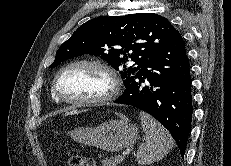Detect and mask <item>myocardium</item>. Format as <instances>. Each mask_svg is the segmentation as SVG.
Here are the masks:
<instances>
[{
	"label": "myocardium",
	"instance_id": "myocardium-1",
	"mask_svg": "<svg viewBox=\"0 0 231 166\" xmlns=\"http://www.w3.org/2000/svg\"><path fill=\"white\" fill-rule=\"evenodd\" d=\"M79 65H89L101 69L109 78V82H110L109 89L103 95L93 98H87V99H69L63 96L59 89L60 76L69 68ZM119 90H120V80L114 68L111 65H109L107 62L94 58L77 59L67 63L66 65H64L59 69L53 80V91L56 97L62 102L73 104V105H79V106L99 105V104L108 103L117 97Z\"/></svg>",
	"mask_w": 231,
	"mask_h": 166
}]
</instances>
